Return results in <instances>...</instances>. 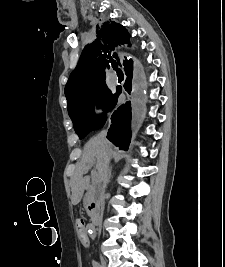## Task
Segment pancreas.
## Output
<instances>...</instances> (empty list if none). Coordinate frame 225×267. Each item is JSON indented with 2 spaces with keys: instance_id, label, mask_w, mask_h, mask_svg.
Wrapping results in <instances>:
<instances>
[{
  "instance_id": "1",
  "label": "pancreas",
  "mask_w": 225,
  "mask_h": 267,
  "mask_svg": "<svg viewBox=\"0 0 225 267\" xmlns=\"http://www.w3.org/2000/svg\"><path fill=\"white\" fill-rule=\"evenodd\" d=\"M94 191H95V187L93 185L90 186L88 193H87V198H90L92 194L94 193Z\"/></svg>"
}]
</instances>
